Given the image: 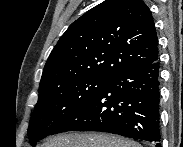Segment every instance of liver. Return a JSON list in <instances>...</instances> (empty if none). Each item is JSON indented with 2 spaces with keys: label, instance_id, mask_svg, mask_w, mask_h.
I'll use <instances>...</instances> for the list:
<instances>
[{
  "label": "liver",
  "instance_id": "1",
  "mask_svg": "<svg viewBox=\"0 0 183 147\" xmlns=\"http://www.w3.org/2000/svg\"><path fill=\"white\" fill-rule=\"evenodd\" d=\"M41 147H141L132 140H126L102 133H70L58 135Z\"/></svg>",
  "mask_w": 183,
  "mask_h": 147
}]
</instances>
